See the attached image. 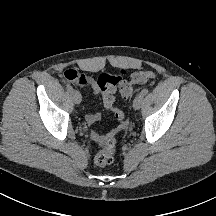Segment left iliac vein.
<instances>
[{"label": "left iliac vein", "instance_id": "obj_1", "mask_svg": "<svg viewBox=\"0 0 216 216\" xmlns=\"http://www.w3.org/2000/svg\"><path fill=\"white\" fill-rule=\"evenodd\" d=\"M142 101H143V96L142 95H137L135 97V99L133 100V108L135 110L140 109L141 105H142Z\"/></svg>", "mask_w": 216, "mask_h": 216}]
</instances>
